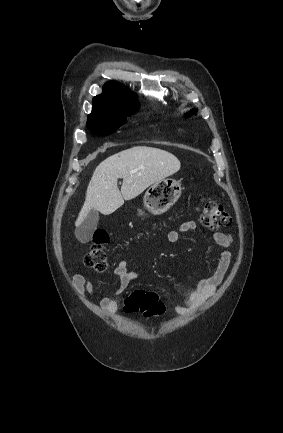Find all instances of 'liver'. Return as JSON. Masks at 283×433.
Segmentation results:
<instances>
[{
    "mask_svg": "<svg viewBox=\"0 0 283 433\" xmlns=\"http://www.w3.org/2000/svg\"><path fill=\"white\" fill-rule=\"evenodd\" d=\"M180 166L177 156L153 146H133L108 156L91 176L75 227H80L92 208L111 214L124 200L135 198L153 182L177 172ZM130 170L137 172L130 174ZM118 178H123L121 190L117 186Z\"/></svg>",
    "mask_w": 283,
    "mask_h": 433,
    "instance_id": "liver-1",
    "label": "liver"
}]
</instances>
